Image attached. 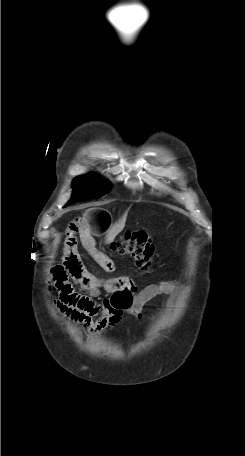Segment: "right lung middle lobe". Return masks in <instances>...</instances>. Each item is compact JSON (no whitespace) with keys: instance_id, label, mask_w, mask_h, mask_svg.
<instances>
[{"instance_id":"obj_1","label":"right lung middle lobe","mask_w":245,"mask_h":456,"mask_svg":"<svg viewBox=\"0 0 245 456\" xmlns=\"http://www.w3.org/2000/svg\"><path fill=\"white\" fill-rule=\"evenodd\" d=\"M74 192L68 204L94 199L111 191V184L95 175L80 176L73 181Z\"/></svg>"}]
</instances>
